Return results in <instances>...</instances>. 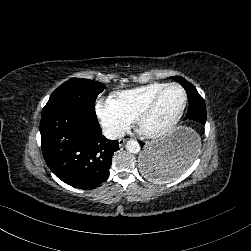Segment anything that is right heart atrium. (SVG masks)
<instances>
[{"mask_svg":"<svg viewBox=\"0 0 251 251\" xmlns=\"http://www.w3.org/2000/svg\"><path fill=\"white\" fill-rule=\"evenodd\" d=\"M95 112L105 131L112 138L122 137L137 117L129 113L114 95L100 97L95 102Z\"/></svg>","mask_w":251,"mask_h":251,"instance_id":"d8ad5b80","label":"right heart atrium"}]
</instances>
